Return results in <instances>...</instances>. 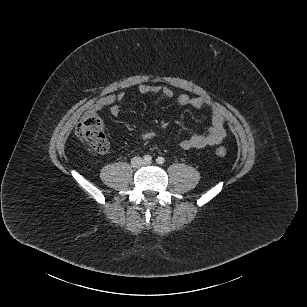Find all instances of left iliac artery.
<instances>
[{
	"mask_svg": "<svg viewBox=\"0 0 307 307\" xmlns=\"http://www.w3.org/2000/svg\"><path fill=\"white\" fill-rule=\"evenodd\" d=\"M156 162H157L158 164L162 165V164H164L165 159H164L163 157H158V158L156 159Z\"/></svg>",
	"mask_w": 307,
	"mask_h": 307,
	"instance_id": "44dca946",
	"label": "left iliac artery"
}]
</instances>
